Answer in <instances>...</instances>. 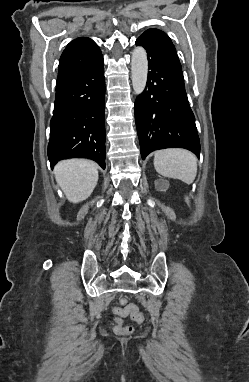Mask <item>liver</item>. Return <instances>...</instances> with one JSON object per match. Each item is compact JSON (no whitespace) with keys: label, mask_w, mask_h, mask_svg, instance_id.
I'll return each mask as SVG.
<instances>
[{"label":"liver","mask_w":249,"mask_h":382,"mask_svg":"<svg viewBox=\"0 0 249 382\" xmlns=\"http://www.w3.org/2000/svg\"><path fill=\"white\" fill-rule=\"evenodd\" d=\"M57 183L72 203L86 200L98 182L97 164L85 159L60 161L54 168Z\"/></svg>","instance_id":"1"}]
</instances>
